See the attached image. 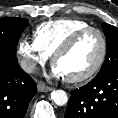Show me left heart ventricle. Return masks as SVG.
<instances>
[{
  "instance_id": "b2bd125f",
  "label": "left heart ventricle",
  "mask_w": 118,
  "mask_h": 118,
  "mask_svg": "<svg viewBox=\"0 0 118 118\" xmlns=\"http://www.w3.org/2000/svg\"><path fill=\"white\" fill-rule=\"evenodd\" d=\"M101 52V42L95 33L84 36L70 51L60 56L55 65L65 78L82 75L96 63Z\"/></svg>"
}]
</instances>
